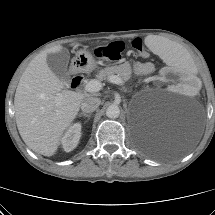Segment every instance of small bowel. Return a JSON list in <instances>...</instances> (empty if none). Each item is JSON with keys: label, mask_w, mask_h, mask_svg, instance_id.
<instances>
[{"label": "small bowel", "mask_w": 215, "mask_h": 215, "mask_svg": "<svg viewBox=\"0 0 215 215\" xmlns=\"http://www.w3.org/2000/svg\"><path fill=\"white\" fill-rule=\"evenodd\" d=\"M143 67L144 68H150V65L146 63V64H143Z\"/></svg>", "instance_id": "c3829d8e"}]
</instances>
